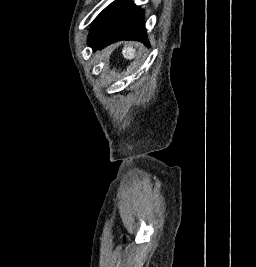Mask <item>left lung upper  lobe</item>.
<instances>
[{
    "label": "left lung upper lobe",
    "mask_w": 256,
    "mask_h": 267,
    "mask_svg": "<svg viewBox=\"0 0 256 267\" xmlns=\"http://www.w3.org/2000/svg\"><path fill=\"white\" fill-rule=\"evenodd\" d=\"M146 35L143 11L130 0H116L93 23L88 44L94 51L125 39L148 45Z\"/></svg>",
    "instance_id": "5c2ea615"
}]
</instances>
